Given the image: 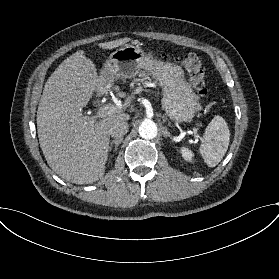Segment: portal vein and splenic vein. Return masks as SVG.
I'll list each match as a JSON object with an SVG mask.
<instances>
[{
    "instance_id": "portal-vein-and-splenic-vein-1",
    "label": "portal vein and splenic vein",
    "mask_w": 279,
    "mask_h": 279,
    "mask_svg": "<svg viewBox=\"0 0 279 279\" xmlns=\"http://www.w3.org/2000/svg\"><path fill=\"white\" fill-rule=\"evenodd\" d=\"M116 107L123 109L125 106L123 104L121 105H104L102 107L99 108L97 115L98 117H103L104 115L107 114H112L114 112H116ZM185 136V134L183 135V137Z\"/></svg>"
}]
</instances>
